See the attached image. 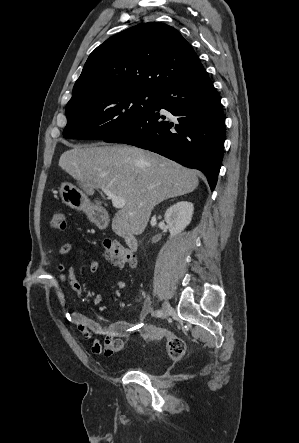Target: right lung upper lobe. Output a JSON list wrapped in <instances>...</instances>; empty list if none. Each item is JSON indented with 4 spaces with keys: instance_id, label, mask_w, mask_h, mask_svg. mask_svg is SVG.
Wrapping results in <instances>:
<instances>
[{
    "instance_id": "1",
    "label": "right lung upper lobe",
    "mask_w": 299,
    "mask_h": 443,
    "mask_svg": "<svg viewBox=\"0 0 299 443\" xmlns=\"http://www.w3.org/2000/svg\"><path fill=\"white\" fill-rule=\"evenodd\" d=\"M204 69L175 28L142 23L107 39L88 57L69 103L109 92L161 88Z\"/></svg>"
}]
</instances>
